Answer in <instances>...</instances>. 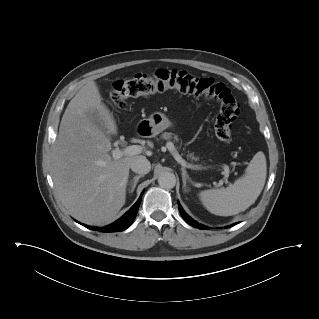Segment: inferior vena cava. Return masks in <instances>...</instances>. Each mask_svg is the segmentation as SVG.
Listing matches in <instances>:
<instances>
[{"instance_id": "602c4592", "label": "inferior vena cava", "mask_w": 319, "mask_h": 319, "mask_svg": "<svg viewBox=\"0 0 319 319\" xmlns=\"http://www.w3.org/2000/svg\"><path fill=\"white\" fill-rule=\"evenodd\" d=\"M130 168L133 172L144 175L151 170V164L146 157H139L131 162Z\"/></svg>"}]
</instances>
